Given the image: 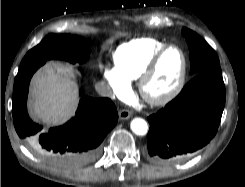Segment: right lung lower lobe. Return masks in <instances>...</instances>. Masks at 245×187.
Returning <instances> with one entry per match:
<instances>
[{
    "label": "right lung lower lobe",
    "mask_w": 245,
    "mask_h": 187,
    "mask_svg": "<svg viewBox=\"0 0 245 187\" xmlns=\"http://www.w3.org/2000/svg\"><path fill=\"white\" fill-rule=\"evenodd\" d=\"M45 61H30L20 65L14 81L12 114L19 137L45 161L74 168L97 158L100 144L118 120L115 105L108 98L82 97L75 117L66 124L41 131L42 126L28 116L26 101L34 72Z\"/></svg>",
    "instance_id": "obj_1"
}]
</instances>
